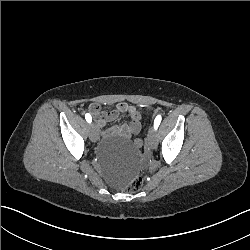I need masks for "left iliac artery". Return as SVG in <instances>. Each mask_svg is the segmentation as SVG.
<instances>
[{"instance_id": "44dca946", "label": "left iliac artery", "mask_w": 250, "mask_h": 250, "mask_svg": "<svg viewBox=\"0 0 250 250\" xmlns=\"http://www.w3.org/2000/svg\"><path fill=\"white\" fill-rule=\"evenodd\" d=\"M161 115H158L155 120H154V128L155 130H157L158 126L160 125V122H161Z\"/></svg>"}]
</instances>
